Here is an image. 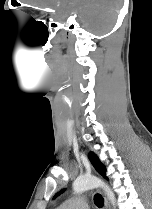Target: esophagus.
Returning <instances> with one entry per match:
<instances>
[{
	"label": "esophagus",
	"mask_w": 152,
	"mask_h": 209,
	"mask_svg": "<svg viewBox=\"0 0 152 209\" xmlns=\"http://www.w3.org/2000/svg\"><path fill=\"white\" fill-rule=\"evenodd\" d=\"M104 203H105V209H110L108 201L106 199V197H104Z\"/></svg>",
	"instance_id": "1"
}]
</instances>
